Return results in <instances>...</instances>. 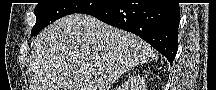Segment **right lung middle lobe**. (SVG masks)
Here are the masks:
<instances>
[{
  "label": "right lung middle lobe",
  "mask_w": 216,
  "mask_h": 90,
  "mask_svg": "<svg viewBox=\"0 0 216 90\" xmlns=\"http://www.w3.org/2000/svg\"><path fill=\"white\" fill-rule=\"evenodd\" d=\"M106 5L107 3H38L34 10L36 24L32 29L31 36L37 35L45 26L63 16L73 13L86 14Z\"/></svg>",
  "instance_id": "right-lung-middle-lobe-1"
}]
</instances>
